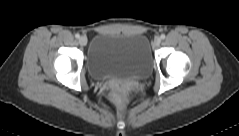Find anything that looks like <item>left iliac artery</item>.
Listing matches in <instances>:
<instances>
[{
    "mask_svg": "<svg viewBox=\"0 0 239 136\" xmlns=\"http://www.w3.org/2000/svg\"><path fill=\"white\" fill-rule=\"evenodd\" d=\"M160 38L165 39V34H161Z\"/></svg>",
    "mask_w": 239,
    "mask_h": 136,
    "instance_id": "1",
    "label": "left iliac artery"
}]
</instances>
